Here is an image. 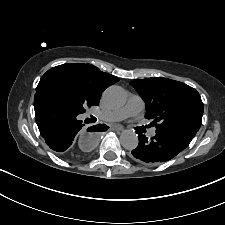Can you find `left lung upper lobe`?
I'll use <instances>...</instances> for the list:
<instances>
[{"mask_svg":"<svg viewBox=\"0 0 225 225\" xmlns=\"http://www.w3.org/2000/svg\"><path fill=\"white\" fill-rule=\"evenodd\" d=\"M130 85L145 101V118L153 120L156 133L199 130L203 102L194 88L162 77L133 80Z\"/></svg>","mask_w":225,"mask_h":225,"instance_id":"1","label":"left lung upper lobe"}]
</instances>
